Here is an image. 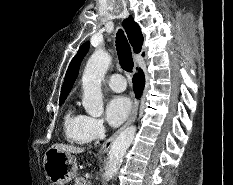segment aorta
<instances>
[{"instance_id": "762f6f07", "label": "aorta", "mask_w": 233, "mask_h": 185, "mask_svg": "<svg viewBox=\"0 0 233 185\" xmlns=\"http://www.w3.org/2000/svg\"><path fill=\"white\" fill-rule=\"evenodd\" d=\"M110 64L111 56L103 50H96L84 69L82 76V104L86 113L92 117H100L103 114L101 82ZM135 134L136 127L130 126L122 131L113 142L105 168L107 180H111L117 174L126 150L133 142Z\"/></svg>"}]
</instances>
